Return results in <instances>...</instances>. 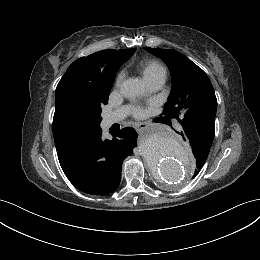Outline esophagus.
I'll return each mask as SVG.
<instances>
[{"label":"esophagus","mask_w":260,"mask_h":260,"mask_svg":"<svg viewBox=\"0 0 260 260\" xmlns=\"http://www.w3.org/2000/svg\"><path fill=\"white\" fill-rule=\"evenodd\" d=\"M137 130H144L149 127V124L146 122H139L135 124Z\"/></svg>","instance_id":"obj_1"}]
</instances>
